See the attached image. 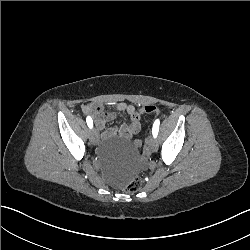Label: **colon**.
Segmentation results:
<instances>
[{
    "instance_id": "5ec220e1",
    "label": "colon",
    "mask_w": 250,
    "mask_h": 250,
    "mask_svg": "<svg viewBox=\"0 0 250 250\" xmlns=\"http://www.w3.org/2000/svg\"><path fill=\"white\" fill-rule=\"evenodd\" d=\"M144 112L147 114H150L153 112V107L150 105H147L144 107ZM131 118L134 121H137L140 119V114L138 112H133L131 115ZM134 146L135 147H140L141 146V141L140 140H135L134 141ZM144 183V177L142 175H137L136 177H134L129 184H125L124 186L121 187V192L125 193V194H130L133 193L135 191H138L141 187V185Z\"/></svg>"
}]
</instances>
